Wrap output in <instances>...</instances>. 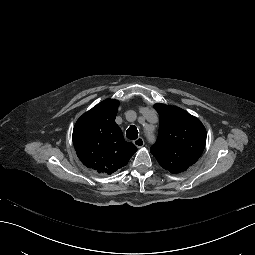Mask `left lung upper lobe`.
Listing matches in <instances>:
<instances>
[{"instance_id":"left-lung-upper-lobe-1","label":"left lung upper lobe","mask_w":255,"mask_h":255,"mask_svg":"<svg viewBox=\"0 0 255 255\" xmlns=\"http://www.w3.org/2000/svg\"><path fill=\"white\" fill-rule=\"evenodd\" d=\"M159 134L151 147L158 163L173 174L188 169L203 153L206 130L200 120L181 108L156 104Z\"/></svg>"}]
</instances>
